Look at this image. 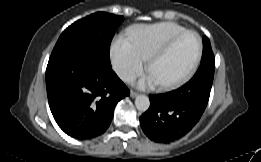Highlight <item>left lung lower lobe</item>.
<instances>
[{"label":"left lung lower lobe","instance_id":"obj_1","mask_svg":"<svg viewBox=\"0 0 261 162\" xmlns=\"http://www.w3.org/2000/svg\"><path fill=\"white\" fill-rule=\"evenodd\" d=\"M214 70L197 71L177 90L150 95V107L140 117L143 132L158 143L187 134L200 120L209 100Z\"/></svg>","mask_w":261,"mask_h":162}]
</instances>
